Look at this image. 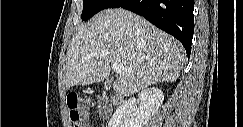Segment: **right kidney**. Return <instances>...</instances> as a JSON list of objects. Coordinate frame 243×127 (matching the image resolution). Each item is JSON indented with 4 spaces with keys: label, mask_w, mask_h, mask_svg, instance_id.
<instances>
[{
    "label": "right kidney",
    "mask_w": 243,
    "mask_h": 127,
    "mask_svg": "<svg viewBox=\"0 0 243 127\" xmlns=\"http://www.w3.org/2000/svg\"><path fill=\"white\" fill-rule=\"evenodd\" d=\"M164 95L159 88H147L121 105L111 117L108 127H143L159 110ZM139 104V107H137Z\"/></svg>",
    "instance_id": "obj_1"
}]
</instances>
